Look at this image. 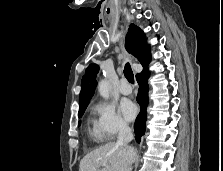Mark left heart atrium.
Segmentation results:
<instances>
[{"mask_svg":"<svg viewBox=\"0 0 223 171\" xmlns=\"http://www.w3.org/2000/svg\"><path fill=\"white\" fill-rule=\"evenodd\" d=\"M120 112L128 121L132 120L137 112L136 106L129 100H124L120 104Z\"/></svg>","mask_w":223,"mask_h":171,"instance_id":"39dd6f15","label":"left heart atrium"}]
</instances>
